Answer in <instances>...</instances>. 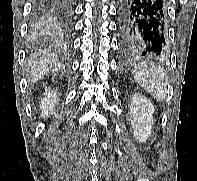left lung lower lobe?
<instances>
[{
    "instance_id": "0a47b994",
    "label": "left lung lower lobe",
    "mask_w": 197,
    "mask_h": 181,
    "mask_svg": "<svg viewBox=\"0 0 197 181\" xmlns=\"http://www.w3.org/2000/svg\"><path fill=\"white\" fill-rule=\"evenodd\" d=\"M165 0H119L120 51L128 57L167 53Z\"/></svg>"
}]
</instances>
